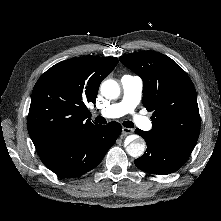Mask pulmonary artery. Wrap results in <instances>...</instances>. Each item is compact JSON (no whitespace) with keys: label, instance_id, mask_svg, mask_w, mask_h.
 <instances>
[{"label":"pulmonary artery","instance_id":"obj_1","mask_svg":"<svg viewBox=\"0 0 221 221\" xmlns=\"http://www.w3.org/2000/svg\"><path fill=\"white\" fill-rule=\"evenodd\" d=\"M122 99L99 111V115L105 118H119L128 113H133L140 103L143 91V80L139 76L126 74L121 78ZM133 122L143 130H150L151 121L142 115L134 114Z\"/></svg>","mask_w":221,"mask_h":221}]
</instances>
